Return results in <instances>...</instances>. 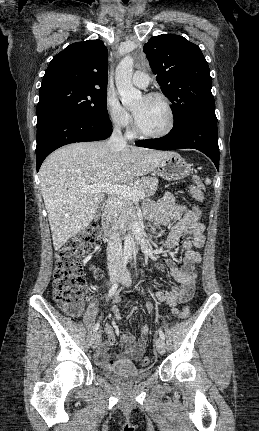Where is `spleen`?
Here are the masks:
<instances>
[{"label":"spleen","instance_id":"1","mask_svg":"<svg viewBox=\"0 0 259 431\" xmlns=\"http://www.w3.org/2000/svg\"><path fill=\"white\" fill-rule=\"evenodd\" d=\"M205 182H206V184H211V180H210L209 178H207V179L205 180Z\"/></svg>","mask_w":259,"mask_h":431}]
</instances>
